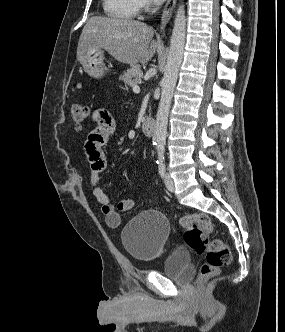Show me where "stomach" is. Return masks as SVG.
Segmentation results:
<instances>
[{"label": "stomach", "mask_w": 285, "mask_h": 332, "mask_svg": "<svg viewBox=\"0 0 285 332\" xmlns=\"http://www.w3.org/2000/svg\"><path fill=\"white\" fill-rule=\"evenodd\" d=\"M104 52L100 48H95L92 51H89L84 56L81 64L84 70L91 76L96 79L102 78L107 72L108 69L104 65Z\"/></svg>", "instance_id": "obj_1"}]
</instances>
